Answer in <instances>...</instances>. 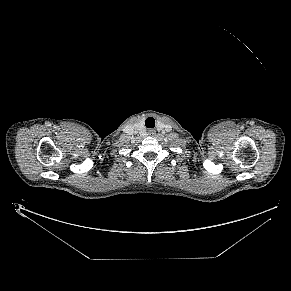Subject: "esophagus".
I'll return each instance as SVG.
<instances>
[{"label": "esophagus", "mask_w": 291, "mask_h": 291, "mask_svg": "<svg viewBox=\"0 0 291 291\" xmlns=\"http://www.w3.org/2000/svg\"><path fill=\"white\" fill-rule=\"evenodd\" d=\"M154 133H155L154 130H152V129H149V130H148V134H149V135H154Z\"/></svg>", "instance_id": "1"}]
</instances>
